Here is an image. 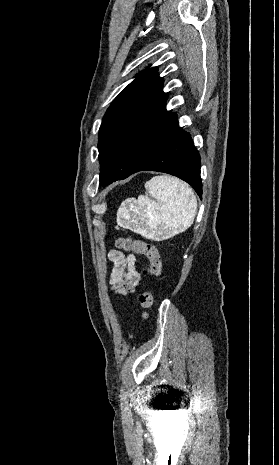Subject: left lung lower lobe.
I'll return each instance as SVG.
<instances>
[{
    "instance_id": "0a47b994",
    "label": "left lung lower lobe",
    "mask_w": 279,
    "mask_h": 465,
    "mask_svg": "<svg viewBox=\"0 0 279 465\" xmlns=\"http://www.w3.org/2000/svg\"><path fill=\"white\" fill-rule=\"evenodd\" d=\"M145 170L175 175L189 183L199 197H202L200 155L189 133L183 131L178 124L131 174Z\"/></svg>"
}]
</instances>
